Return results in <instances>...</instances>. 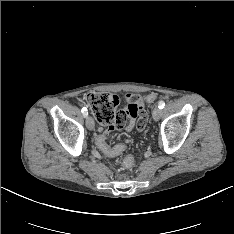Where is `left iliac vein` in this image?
<instances>
[{"label":"left iliac vein","instance_id":"1","mask_svg":"<svg viewBox=\"0 0 234 234\" xmlns=\"http://www.w3.org/2000/svg\"><path fill=\"white\" fill-rule=\"evenodd\" d=\"M161 114H162L161 109L159 107H155L153 112H152L153 119L155 121H158L161 117Z\"/></svg>","mask_w":234,"mask_h":234}]
</instances>
